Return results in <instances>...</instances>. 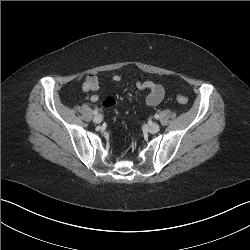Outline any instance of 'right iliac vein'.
<instances>
[{
    "instance_id": "63e3f726",
    "label": "right iliac vein",
    "mask_w": 250,
    "mask_h": 250,
    "mask_svg": "<svg viewBox=\"0 0 250 250\" xmlns=\"http://www.w3.org/2000/svg\"><path fill=\"white\" fill-rule=\"evenodd\" d=\"M103 117L101 115H96L94 118H93V122L94 123H100L102 121Z\"/></svg>"
}]
</instances>
